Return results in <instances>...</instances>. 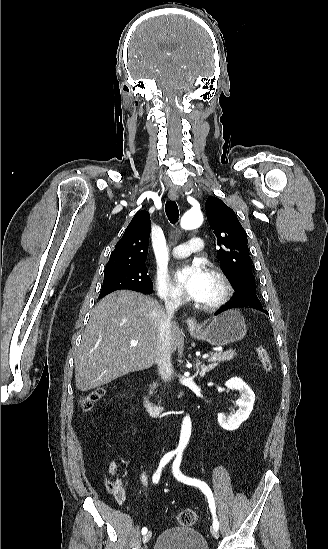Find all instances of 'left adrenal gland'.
I'll return each mask as SVG.
<instances>
[{
	"mask_svg": "<svg viewBox=\"0 0 328 549\" xmlns=\"http://www.w3.org/2000/svg\"><path fill=\"white\" fill-rule=\"evenodd\" d=\"M198 365H200V363H198L197 361L196 363L197 369H198ZM212 369H213L212 365H208V367H206V365H201V371H199L198 369V373L199 375H205V373H209V371H212Z\"/></svg>",
	"mask_w": 328,
	"mask_h": 549,
	"instance_id": "obj_1",
	"label": "left adrenal gland"
}]
</instances>
